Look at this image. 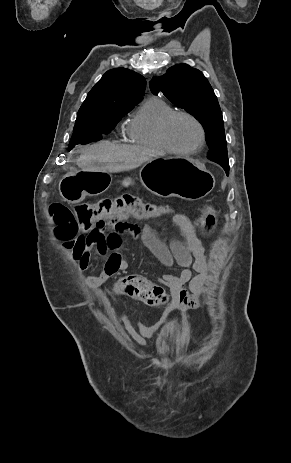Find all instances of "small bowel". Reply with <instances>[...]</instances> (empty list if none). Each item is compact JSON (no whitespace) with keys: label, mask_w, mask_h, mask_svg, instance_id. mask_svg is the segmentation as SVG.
Listing matches in <instances>:
<instances>
[{"label":"small bowel","mask_w":291,"mask_h":463,"mask_svg":"<svg viewBox=\"0 0 291 463\" xmlns=\"http://www.w3.org/2000/svg\"><path fill=\"white\" fill-rule=\"evenodd\" d=\"M131 217H112L105 228L86 232L75 240L71 257L78 262L80 271L87 269L92 250L104 257L101 274L84 279V284L97 286L129 269L130 264L120 251L122 235L128 233L140 237L165 269H171L174 262L183 268L178 275L159 273L155 277L171 290L181 306L188 309L204 307L203 297L210 287L212 272L193 220L189 218L188 222L181 224L175 217L171 218L180 228L184 241L172 240L166 244L149 226L141 229L128 222ZM137 330L141 329L137 327Z\"/></svg>","instance_id":"1"}]
</instances>
